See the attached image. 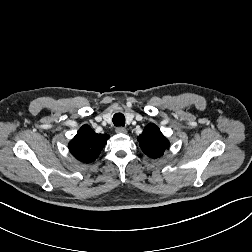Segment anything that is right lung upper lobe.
<instances>
[{
	"label": "right lung upper lobe",
	"mask_w": 252,
	"mask_h": 252,
	"mask_svg": "<svg viewBox=\"0 0 252 252\" xmlns=\"http://www.w3.org/2000/svg\"><path fill=\"white\" fill-rule=\"evenodd\" d=\"M108 138L107 134H97L90 126L83 125L70 141L69 149L79 161L91 163L99 156Z\"/></svg>",
	"instance_id": "cb5924a9"
}]
</instances>
